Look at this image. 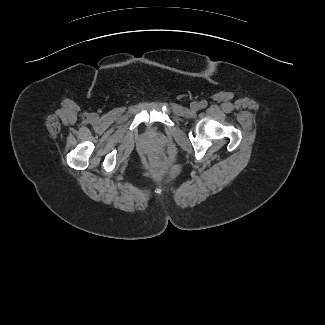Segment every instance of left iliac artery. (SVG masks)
Instances as JSON below:
<instances>
[{"label":"left iliac artery","instance_id":"left-iliac-artery-1","mask_svg":"<svg viewBox=\"0 0 325 325\" xmlns=\"http://www.w3.org/2000/svg\"><path fill=\"white\" fill-rule=\"evenodd\" d=\"M200 106L202 108H205L207 106V102L205 100L204 101H201Z\"/></svg>","mask_w":325,"mask_h":325}]
</instances>
